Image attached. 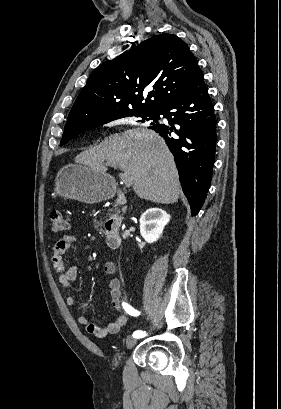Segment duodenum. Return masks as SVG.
<instances>
[{
    "instance_id": "obj_1",
    "label": "duodenum",
    "mask_w": 281,
    "mask_h": 409,
    "mask_svg": "<svg viewBox=\"0 0 281 409\" xmlns=\"http://www.w3.org/2000/svg\"><path fill=\"white\" fill-rule=\"evenodd\" d=\"M115 195L113 200L115 203H124L126 200L125 193L126 188L124 186H117L115 188ZM105 235L107 238L108 246L111 249H119L121 247L122 239L118 231L114 230L111 223H107L104 227Z\"/></svg>"
}]
</instances>
